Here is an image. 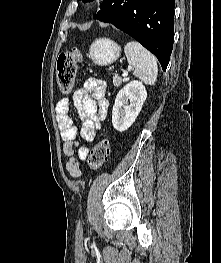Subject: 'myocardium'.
<instances>
[{"instance_id":"1","label":"myocardium","mask_w":221,"mask_h":263,"mask_svg":"<svg viewBox=\"0 0 221 263\" xmlns=\"http://www.w3.org/2000/svg\"><path fill=\"white\" fill-rule=\"evenodd\" d=\"M96 3H97L96 0H91V1L88 2V4H89L90 6L96 5Z\"/></svg>"}]
</instances>
